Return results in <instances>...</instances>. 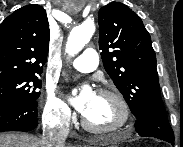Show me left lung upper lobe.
Wrapping results in <instances>:
<instances>
[{"instance_id": "obj_1", "label": "left lung upper lobe", "mask_w": 183, "mask_h": 147, "mask_svg": "<svg viewBox=\"0 0 183 147\" xmlns=\"http://www.w3.org/2000/svg\"><path fill=\"white\" fill-rule=\"evenodd\" d=\"M99 48L106 72L133 115H166L151 38L134 11L120 2L99 10Z\"/></svg>"}]
</instances>
